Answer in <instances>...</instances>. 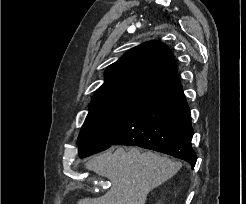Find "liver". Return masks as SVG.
Here are the masks:
<instances>
[{
    "mask_svg": "<svg viewBox=\"0 0 246 204\" xmlns=\"http://www.w3.org/2000/svg\"><path fill=\"white\" fill-rule=\"evenodd\" d=\"M180 162L137 147H119L91 158L86 168L108 178L111 189L98 198H83L77 204H145L148 193L181 168Z\"/></svg>",
    "mask_w": 246,
    "mask_h": 204,
    "instance_id": "obj_1",
    "label": "liver"
}]
</instances>
